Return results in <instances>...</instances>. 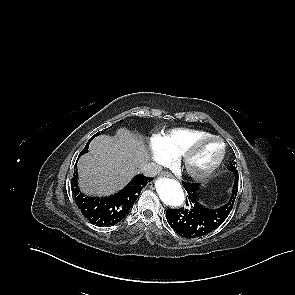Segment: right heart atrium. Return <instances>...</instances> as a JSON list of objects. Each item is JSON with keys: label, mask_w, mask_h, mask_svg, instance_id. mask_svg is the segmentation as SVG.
Masks as SVG:
<instances>
[{"label": "right heart atrium", "mask_w": 295, "mask_h": 295, "mask_svg": "<svg viewBox=\"0 0 295 295\" xmlns=\"http://www.w3.org/2000/svg\"><path fill=\"white\" fill-rule=\"evenodd\" d=\"M150 150L152 159L158 165H168L172 163L173 158L162 148L157 136L150 140Z\"/></svg>", "instance_id": "d8ad5b80"}]
</instances>
